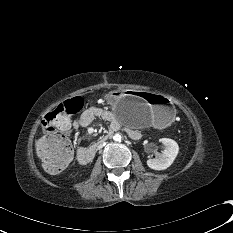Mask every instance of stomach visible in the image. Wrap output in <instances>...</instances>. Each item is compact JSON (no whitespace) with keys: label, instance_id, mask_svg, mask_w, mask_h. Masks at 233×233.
I'll list each match as a JSON object with an SVG mask.
<instances>
[{"label":"stomach","instance_id":"1","mask_svg":"<svg viewBox=\"0 0 233 233\" xmlns=\"http://www.w3.org/2000/svg\"><path fill=\"white\" fill-rule=\"evenodd\" d=\"M114 117L122 124L146 127L174 120L175 107L164 95L141 91H112L108 95Z\"/></svg>","mask_w":233,"mask_h":233}]
</instances>
